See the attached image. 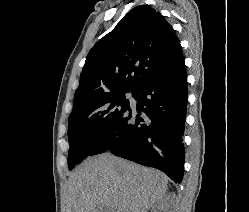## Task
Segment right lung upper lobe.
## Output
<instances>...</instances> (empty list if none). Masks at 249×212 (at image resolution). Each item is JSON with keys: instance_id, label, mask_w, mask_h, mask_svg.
I'll return each instance as SVG.
<instances>
[{"instance_id": "obj_1", "label": "right lung upper lobe", "mask_w": 249, "mask_h": 212, "mask_svg": "<svg viewBox=\"0 0 249 212\" xmlns=\"http://www.w3.org/2000/svg\"><path fill=\"white\" fill-rule=\"evenodd\" d=\"M181 57L171 25L153 8L137 6L88 53L73 108L104 95L134 92Z\"/></svg>"}]
</instances>
